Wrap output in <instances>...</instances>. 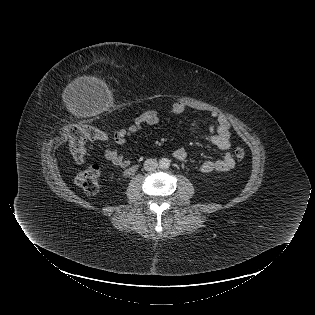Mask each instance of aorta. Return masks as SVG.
<instances>
[{"mask_svg":"<svg viewBox=\"0 0 315 315\" xmlns=\"http://www.w3.org/2000/svg\"><path fill=\"white\" fill-rule=\"evenodd\" d=\"M159 166L162 169H168L170 167V160L168 158H162L159 160Z\"/></svg>","mask_w":315,"mask_h":315,"instance_id":"aorta-1","label":"aorta"}]
</instances>
